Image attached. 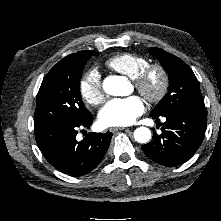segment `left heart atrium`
Returning a JSON list of instances; mask_svg holds the SVG:
<instances>
[{"instance_id": "39dd6f15", "label": "left heart atrium", "mask_w": 221, "mask_h": 221, "mask_svg": "<svg viewBox=\"0 0 221 221\" xmlns=\"http://www.w3.org/2000/svg\"><path fill=\"white\" fill-rule=\"evenodd\" d=\"M145 110L139 96L109 100L99 112V121L103 126H127L132 124Z\"/></svg>"}]
</instances>
